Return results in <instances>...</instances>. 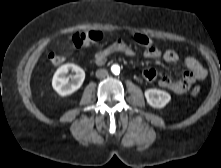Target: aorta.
I'll list each match as a JSON object with an SVG mask.
<instances>
[{
  "instance_id": "762f6f07",
  "label": "aorta",
  "mask_w": 221,
  "mask_h": 168,
  "mask_svg": "<svg viewBox=\"0 0 221 168\" xmlns=\"http://www.w3.org/2000/svg\"><path fill=\"white\" fill-rule=\"evenodd\" d=\"M111 71L113 74L118 75L120 73V66L118 64H113L111 66Z\"/></svg>"
}]
</instances>
